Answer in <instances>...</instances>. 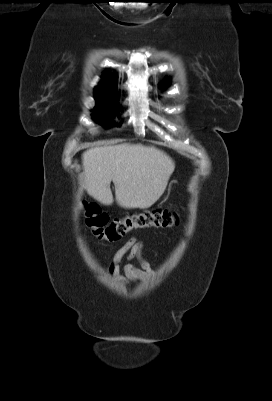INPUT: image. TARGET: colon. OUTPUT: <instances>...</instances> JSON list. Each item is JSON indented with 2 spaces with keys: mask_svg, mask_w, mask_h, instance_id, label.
<instances>
[{
  "mask_svg": "<svg viewBox=\"0 0 272 401\" xmlns=\"http://www.w3.org/2000/svg\"><path fill=\"white\" fill-rule=\"evenodd\" d=\"M86 207V224L94 236L100 240L117 241L125 235L146 228H168L177 224L178 213L162 208H154L122 218L110 219L95 203Z\"/></svg>",
  "mask_w": 272,
  "mask_h": 401,
  "instance_id": "5ec220e1",
  "label": "colon"
}]
</instances>
